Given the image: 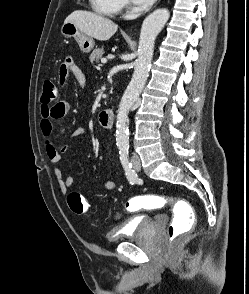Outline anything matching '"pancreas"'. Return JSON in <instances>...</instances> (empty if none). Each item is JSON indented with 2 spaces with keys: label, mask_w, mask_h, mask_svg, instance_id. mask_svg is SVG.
Here are the masks:
<instances>
[{
  "label": "pancreas",
  "mask_w": 249,
  "mask_h": 294,
  "mask_svg": "<svg viewBox=\"0 0 249 294\" xmlns=\"http://www.w3.org/2000/svg\"><path fill=\"white\" fill-rule=\"evenodd\" d=\"M102 55H103V49H95L91 53L89 59L91 63L93 64L95 61L98 62L102 58Z\"/></svg>",
  "instance_id": "1"
}]
</instances>
